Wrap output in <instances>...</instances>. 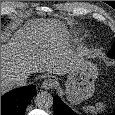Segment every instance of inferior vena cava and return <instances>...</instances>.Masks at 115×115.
Masks as SVG:
<instances>
[{"instance_id": "obj_1", "label": "inferior vena cava", "mask_w": 115, "mask_h": 115, "mask_svg": "<svg viewBox=\"0 0 115 115\" xmlns=\"http://www.w3.org/2000/svg\"><path fill=\"white\" fill-rule=\"evenodd\" d=\"M28 77V73H20L14 78L13 83L16 86H25L27 84Z\"/></svg>"}]
</instances>
